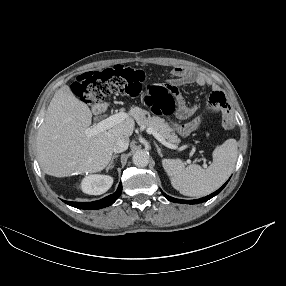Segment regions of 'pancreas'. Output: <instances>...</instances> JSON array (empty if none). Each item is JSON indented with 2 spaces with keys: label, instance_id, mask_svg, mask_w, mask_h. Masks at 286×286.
Here are the masks:
<instances>
[{
  "label": "pancreas",
  "instance_id": "pancreas-1",
  "mask_svg": "<svg viewBox=\"0 0 286 286\" xmlns=\"http://www.w3.org/2000/svg\"><path fill=\"white\" fill-rule=\"evenodd\" d=\"M130 115L135 118L138 125L142 128H152L156 130L162 137L166 138L171 143H179L180 139L173 132V128L170 127L164 119L160 117H151L149 112L138 107H134L130 110Z\"/></svg>",
  "mask_w": 286,
  "mask_h": 286
}]
</instances>
